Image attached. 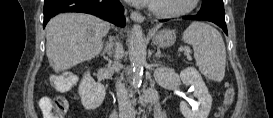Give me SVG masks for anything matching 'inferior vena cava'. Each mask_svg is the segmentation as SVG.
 Wrapping results in <instances>:
<instances>
[{"instance_id": "602c4592", "label": "inferior vena cava", "mask_w": 273, "mask_h": 118, "mask_svg": "<svg viewBox=\"0 0 273 118\" xmlns=\"http://www.w3.org/2000/svg\"><path fill=\"white\" fill-rule=\"evenodd\" d=\"M123 53H124V50L122 45L119 42L116 43V49H115L116 61L113 65V69L116 71H118L119 69L117 62L123 57ZM116 93H117L119 112H120L121 118H134L135 116L134 109L128 97V93L120 80L116 83Z\"/></svg>"}]
</instances>
